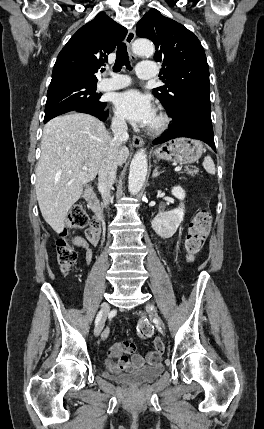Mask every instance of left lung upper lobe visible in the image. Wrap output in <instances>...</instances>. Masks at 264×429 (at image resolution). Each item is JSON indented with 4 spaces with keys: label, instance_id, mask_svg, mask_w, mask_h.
<instances>
[{
    "label": "left lung upper lobe",
    "instance_id": "left-lung-upper-lobe-1",
    "mask_svg": "<svg viewBox=\"0 0 264 429\" xmlns=\"http://www.w3.org/2000/svg\"><path fill=\"white\" fill-rule=\"evenodd\" d=\"M139 37L156 47L155 61L162 63L164 86L153 89L167 113L180 111L184 101L210 102L209 68L198 38L180 23L150 9L137 24Z\"/></svg>",
    "mask_w": 264,
    "mask_h": 429
}]
</instances>
